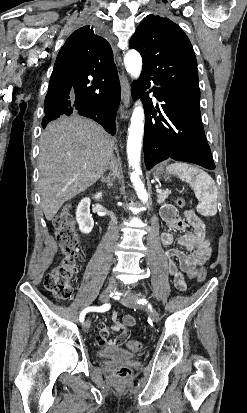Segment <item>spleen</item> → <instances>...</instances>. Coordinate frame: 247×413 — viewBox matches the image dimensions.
<instances>
[{"label": "spleen", "instance_id": "obj_1", "mask_svg": "<svg viewBox=\"0 0 247 413\" xmlns=\"http://www.w3.org/2000/svg\"><path fill=\"white\" fill-rule=\"evenodd\" d=\"M169 170H174L181 180H186L191 184L198 200V211L203 215H216L217 213V186L215 180L207 174L205 170L187 164V162H173L167 166Z\"/></svg>", "mask_w": 247, "mask_h": 413}]
</instances>
